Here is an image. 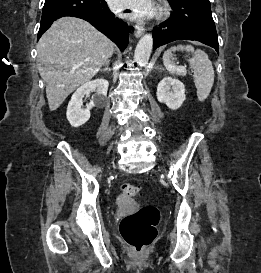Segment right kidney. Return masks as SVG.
Wrapping results in <instances>:
<instances>
[{"instance_id": "ca27d5eb", "label": "right kidney", "mask_w": 261, "mask_h": 273, "mask_svg": "<svg viewBox=\"0 0 261 273\" xmlns=\"http://www.w3.org/2000/svg\"><path fill=\"white\" fill-rule=\"evenodd\" d=\"M109 83L106 79H95L81 85L72 95L67 107V119L72 127H79L85 124L90 118V110L97 103L104 101L107 96ZM96 91V96L90 101L85 109H82L83 97L90 92Z\"/></svg>"}]
</instances>
